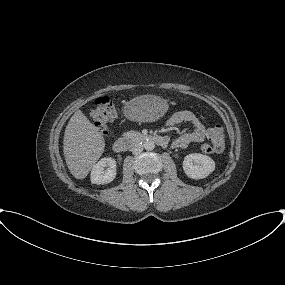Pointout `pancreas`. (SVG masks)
<instances>
[{
	"instance_id": "pancreas-1",
	"label": "pancreas",
	"mask_w": 285,
	"mask_h": 285,
	"mask_svg": "<svg viewBox=\"0 0 285 285\" xmlns=\"http://www.w3.org/2000/svg\"><path fill=\"white\" fill-rule=\"evenodd\" d=\"M124 135L134 140H137L141 137V133L137 131H128Z\"/></svg>"
}]
</instances>
